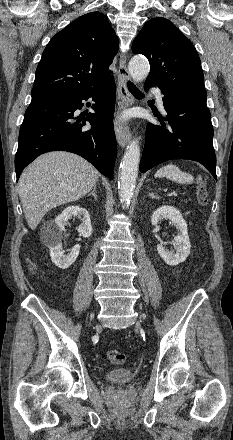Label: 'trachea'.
Wrapping results in <instances>:
<instances>
[{"mask_svg": "<svg viewBox=\"0 0 233 440\" xmlns=\"http://www.w3.org/2000/svg\"><path fill=\"white\" fill-rule=\"evenodd\" d=\"M127 86H128L129 91H130L133 95H135V96H143V93H142L141 91H139V90L136 88V86H135L133 83H131L130 81H128Z\"/></svg>", "mask_w": 233, "mask_h": 440, "instance_id": "obj_1", "label": "trachea"}]
</instances>
